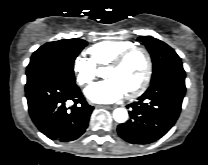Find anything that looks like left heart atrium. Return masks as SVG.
Returning <instances> with one entry per match:
<instances>
[{
  "mask_svg": "<svg viewBox=\"0 0 208 165\" xmlns=\"http://www.w3.org/2000/svg\"><path fill=\"white\" fill-rule=\"evenodd\" d=\"M125 93L121 84L113 78L94 83L86 90L88 99L95 103H112L121 99Z\"/></svg>",
  "mask_w": 208,
  "mask_h": 165,
  "instance_id": "left-heart-atrium-1",
  "label": "left heart atrium"
}]
</instances>
